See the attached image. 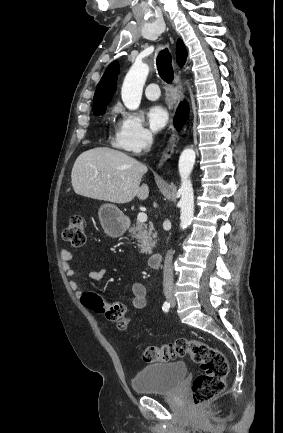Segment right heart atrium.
Instances as JSON below:
<instances>
[{
	"label": "right heart atrium",
	"mask_w": 283,
	"mask_h": 433,
	"mask_svg": "<svg viewBox=\"0 0 283 433\" xmlns=\"http://www.w3.org/2000/svg\"><path fill=\"white\" fill-rule=\"evenodd\" d=\"M115 111L120 115V121L114 129L112 146L130 155H140L153 141L151 134L143 125L141 116L125 110L120 105H116Z\"/></svg>",
	"instance_id": "right-heart-atrium-1"
}]
</instances>
